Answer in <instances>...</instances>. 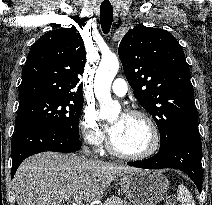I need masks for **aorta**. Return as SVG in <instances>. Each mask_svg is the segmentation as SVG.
Listing matches in <instances>:
<instances>
[{"label": "aorta", "instance_id": "aorta-1", "mask_svg": "<svg viewBox=\"0 0 212 205\" xmlns=\"http://www.w3.org/2000/svg\"><path fill=\"white\" fill-rule=\"evenodd\" d=\"M119 69V61L116 56L103 57L100 61L94 79V93L100 104V117H106L114 112L115 107L111 98V84Z\"/></svg>", "mask_w": 212, "mask_h": 205}]
</instances>
